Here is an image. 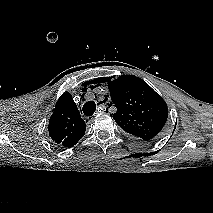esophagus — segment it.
<instances>
[{
	"label": "esophagus",
	"instance_id": "34e87169",
	"mask_svg": "<svg viewBox=\"0 0 213 213\" xmlns=\"http://www.w3.org/2000/svg\"><path fill=\"white\" fill-rule=\"evenodd\" d=\"M99 106L102 107V110H103V111H106V109H107V106H106V105L102 104V105H99ZM87 119H89V118H87ZM89 121L92 122V121H93V118H90Z\"/></svg>",
	"mask_w": 213,
	"mask_h": 213
}]
</instances>
